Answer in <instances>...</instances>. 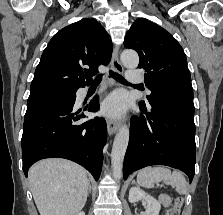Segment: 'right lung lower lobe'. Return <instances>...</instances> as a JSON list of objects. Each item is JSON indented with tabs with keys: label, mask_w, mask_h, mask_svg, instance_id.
Instances as JSON below:
<instances>
[{
	"label": "right lung lower lobe",
	"mask_w": 223,
	"mask_h": 215,
	"mask_svg": "<svg viewBox=\"0 0 223 215\" xmlns=\"http://www.w3.org/2000/svg\"><path fill=\"white\" fill-rule=\"evenodd\" d=\"M74 102L54 105L30 112L24 117L21 139L23 171L38 160L51 157L66 158L85 167L98 180L102 168L103 146L107 127L104 118H94L75 124L84 114L81 110L96 112L97 97L88 106L75 112Z\"/></svg>",
	"instance_id": "1"
}]
</instances>
